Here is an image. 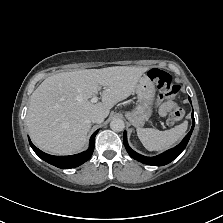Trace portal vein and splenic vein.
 <instances>
[{"label": "portal vein and splenic vein", "instance_id": "portal-vein-and-splenic-vein-1", "mask_svg": "<svg viewBox=\"0 0 223 223\" xmlns=\"http://www.w3.org/2000/svg\"><path fill=\"white\" fill-rule=\"evenodd\" d=\"M97 102V96H94L91 98L90 103H96ZM155 130L158 128L156 125L153 127Z\"/></svg>", "mask_w": 223, "mask_h": 223}]
</instances>
